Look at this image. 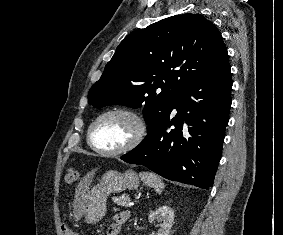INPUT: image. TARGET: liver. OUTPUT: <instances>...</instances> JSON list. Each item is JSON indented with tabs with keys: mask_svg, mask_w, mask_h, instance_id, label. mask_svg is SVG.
Listing matches in <instances>:
<instances>
[{
	"mask_svg": "<svg viewBox=\"0 0 283 235\" xmlns=\"http://www.w3.org/2000/svg\"><path fill=\"white\" fill-rule=\"evenodd\" d=\"M96 171L97 169H93L91 172L87 173L83 180L78 184L76 190V208L80 209V197L86 193Z\"/></svg>",
	"mask_w": 283,
	"mask_h": 235,
	"instance_id": "obj_1",
	"label": "liver"
}]
</instances>
